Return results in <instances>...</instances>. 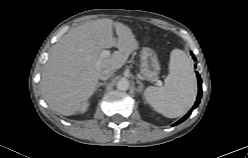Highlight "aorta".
Masks as SVG:
<instances>
[{
    "label": "aorta",
    "instance_id": "762f6f07",
    "mask_svg": "<svg viewBox=\"0 0 248 158\" xmlns=\"http://www.w3.org/2000/svg\"><path fill=\"white\" fill-rule=\"evenodd\" d=\"M129 85H130L129 81L127 79H120L117 82V89L124 91V90H127L129 88Z\"/></svg>",
    "mask_w": 248,
    "mask_h": 158
}]
</instances>
